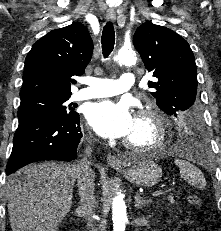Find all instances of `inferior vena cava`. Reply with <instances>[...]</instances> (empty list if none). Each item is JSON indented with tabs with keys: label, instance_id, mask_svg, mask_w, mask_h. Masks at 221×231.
Returning a JSON list of instances; mask_svg holds the SVG:
<instances>
[{
	"label": "inferior vena cava",
	"instance_id": "1",
	"mask_svg": "<svg viewBox=\"0 0 221 231\" xmlns=\"http://www.w3.org/2000/svg\"><path fill=\"white\" fill-rule=\"evenodd\" d=\"M91 148L88 147L85 151L86 156L77 165V186L80 196V206L79 209L83 215L88 216L87 227L91 231H96L93 227V220L90 215L96 205L95 193H94V172L90 168V162L87 157L91 155Z\"/></svg>",
	"mask_w": 221,
	"mask_h": 231
}]
</instances>
